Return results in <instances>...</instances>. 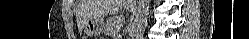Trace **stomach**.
<instances>
[{
	"mask_svg": "<svg viewBox=\"0 0 249 39\" xmlns=\"http://www.w3.org/2000/svg\"><path fill=\"white\" fill-rule=\"evenodd\" d=\"M103 19L100 17H90L88 19H86V21L84 22V32L88 35V36H97L99 34H101L102 30H103Z\"/></svg>",
	"mask_w": 249,
	"mask_h": 39,
	"instance_id": "stomach-1",
	"label": "stomach"
}]
</instances>
